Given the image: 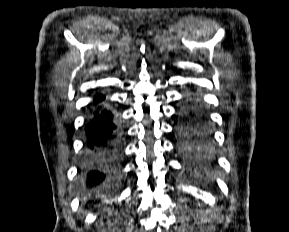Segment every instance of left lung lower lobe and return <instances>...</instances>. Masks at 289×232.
<instances>
[{"instance_id": "1", "label": "left lung lower lobe", "mask_w": 289, "mask_h": 232, "mask_svg": "<svg viewBox=\"0 0 289 232\" xmlns=\"http://www.w3.org/2000/svg\"><path fill=\"white\" fill-rule=\"evenodd\" d=\"M186 114L193 122L199 124L204 132L209 133L212 137L209 119L198 100L193 99L189 103V105L184 109L183 117H185Z\"/></svg>"}]
</instances>
